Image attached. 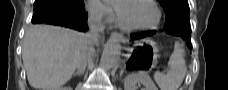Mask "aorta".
I'll return each instance as SVG.
<instances>
[{"instance_id": "762f6f07", "label": "aorta", "mask_w": 228, "mask_h": 90, "mask_svg": "<svg viewBox=\"0 0 228 90\" xmlns=\"http://www.w3.org/2000/svg\"><path fill=\"white\" fill-rule=\"evenodd\" d=\"M121 46L117 38L112 37L105 45L101 56L100 65L103 69L113 68L119 61Z\"/></svg>"}]
</instances>
